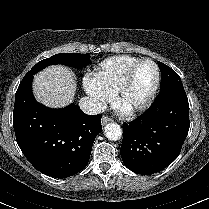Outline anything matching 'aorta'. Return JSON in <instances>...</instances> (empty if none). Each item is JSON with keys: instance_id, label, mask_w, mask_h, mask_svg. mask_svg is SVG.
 <instances>
[{"instance_id": "762f6f07", "label": "aorta", "mask_w": 209, "mask_h": 209, "mask_svg": "<svg viewBox=\"0 0 209 209\" xmlns=\"http://www.w3.org/2000/svg\"><path fill=\"white\" fill-rule=\"evenodd\" d=\"M105 136L112 141H117L122 136V129L116 123H109L105 126Z\"/></svg>"}]
</instances>
